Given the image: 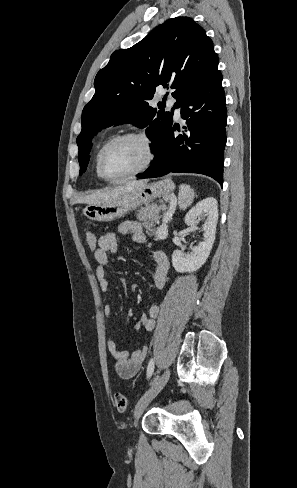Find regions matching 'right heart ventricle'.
Segmentation results:
<instances>
[{"label": "right heart ventricle", "instance_id": "right-heart-ventricle-1", "mask_svg": "<svg viewBox=\"0 0 297 488\" xmlns=\"http://www.w3.org/2000/svg\"><path fill=\"white\" fill-rule=\"evenodd\" d=\"M115 135L114 134H108L107 136H105L102 141L100 142V144L98 145L97 149H96V152H95V173H96V176L99 178V179H103L100 175V172H99V169H98V159H99V156H100V153L103 149V147L112 139L114 138Z\"/></svg>", "mask_w": 297, "mask_h": 488}]
</instances>
